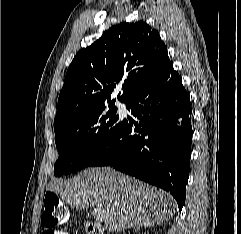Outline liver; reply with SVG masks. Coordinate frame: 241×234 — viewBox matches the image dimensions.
I'll return each instance as SVG.
<instances>
[{"label":"liver","instance_id":"1","mask_svg":"<svg viewBox=\"0 0 241 234\" xmlns=\"http://www.w3.org/2000/svg\"><path fill=\"white\" fill-rule=\"evenodd\" d=\"M48 189L77 209L95 206L107 231L151 227L172 218L176 202L167 192L111 167L88 168Z\"/></svg>","mask_w":241,"mask_h":234}]
</instances>
